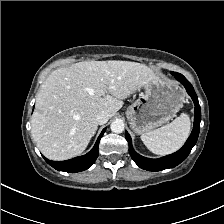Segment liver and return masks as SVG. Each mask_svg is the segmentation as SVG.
<instances>
[{"label":"liver","mask_w":224,"mask_h":224,"mask_svg":"<svg viewBox=\"0 0 224 224\" xmlns=\"http://www.w3.org/2000/svg\"><path fill=\"white\" fill-rule=\"evenodd\" d=\"M157 76L130 61H83L51 72L36 99L32 137L48 159L80 155L96 133V115L114 116L123 101Z\"/></svg>","instance_id":"6515ba94"}]
</instances>
